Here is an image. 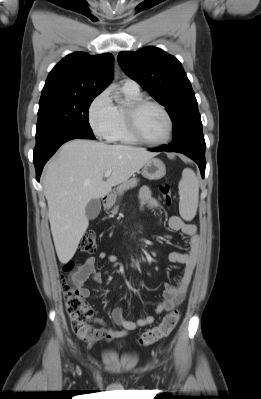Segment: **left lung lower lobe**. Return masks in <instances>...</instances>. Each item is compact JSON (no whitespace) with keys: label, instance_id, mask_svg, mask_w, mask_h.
<instances>
[{"label":"left lung lower lobe","instance_id":"1","mask_svg":"<svg viewBox=\"0 0 261 399\" xmlns=\"http://www.w3.org/2000/svg\"><path fill=\"white\" fill-rule=\"evenodd\" d=\"M205 144H187L184 146H172L164 145L158 148L150 149L153 152L167 151V152H178L185 154L186 156L193 159L199 166L202 177H204L205 172Z\"/></svg>","mask_w":261,"mask_h":399}]
</instances>
